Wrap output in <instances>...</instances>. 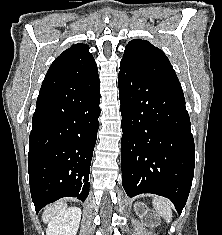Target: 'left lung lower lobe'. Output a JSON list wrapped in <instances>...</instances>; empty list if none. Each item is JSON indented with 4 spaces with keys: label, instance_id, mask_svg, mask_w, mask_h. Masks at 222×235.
Listing matches in <instances>:
<instances>
[{
    "label": "left lung lower lobe",
    "instance_id": "0a47b994",
    "mask_svg": "<svg viewBox=\"0 0 222 235\" xmlns=\"http://www.w3.org/2000/svg\"><path fill=\"white\" fill-rule=\"evenodd\" d=\"M122 185L129 197L169 198L180 214L194 175V140L182 88L120 63Z\"/></svg>",
    "mask_w": 222,
    "mask_h": 235
}]
</instances>
